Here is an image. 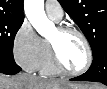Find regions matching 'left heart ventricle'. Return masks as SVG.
I'll use <instances>...</instances> for the list:
<instances>
[{
	"mask_svg": "<svg viewBox=\"0 0 107 89\" xmlns=\"http://www.w3.org/2000/svg\"><path fill=\"white\" fill-rule=\"evenodd\" d=\"M50 41L55 45L63 64L69 70H79L86 62V49L84 43L75 34H61L55 30Z\"/></svg>",
	"mask_w": 107,
	"mask_h": 89,
	"instance_id": "1",
	"label": "left heart ventricle"
}]
</instances>
